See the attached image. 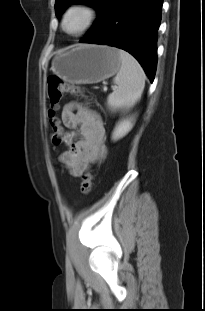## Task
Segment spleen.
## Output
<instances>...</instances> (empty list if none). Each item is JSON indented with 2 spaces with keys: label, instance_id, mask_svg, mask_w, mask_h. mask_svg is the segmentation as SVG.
Instances as JSON below:
<instances>
[{
  "label": "spleen",
  "instance_id": "obj_1",
  "mask_svg": "<svg viewBox=\"0 0 205 311\" xmlns=\"http://www.w3.org/2000/svg\"><path fill=\"white\" fill-rule=\"evenodd\" d=\"M119 56L120 69L113 79L117 87L107 97V105L112 110L132 107L140 99L145 86V73L139 62L121 49Z\"/></svg>",
  "mask_w": 205,
  "mask_h": 311
}]
</instances>
